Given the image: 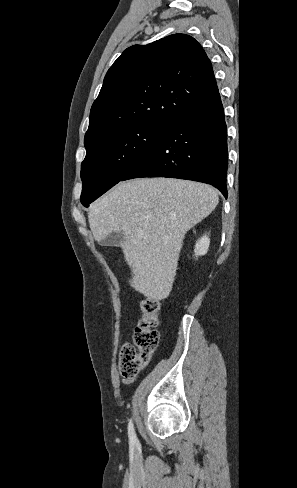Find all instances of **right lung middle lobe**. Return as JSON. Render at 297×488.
<instances>
[{
	"label": "right lung middle lobe",
	"mask_w": 297,
	"mask_h": 488,
	"mask_svg": "<svg viewBox=\"0 0 297 488\" xmlns=\"http://www.w3.org/2000/svg\"><path fill=\"white\" fill-rule=\"evenodd\" d=\"M167 122H143L114 131L90 147L81 164V203L91 202L121 181L168 128Z\"/></svg>",
	"instance_id": "obj_1"
}]
</instances>
